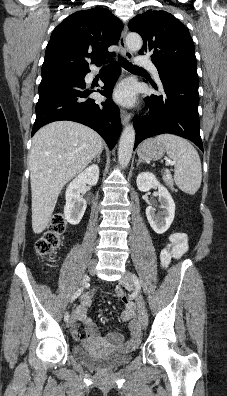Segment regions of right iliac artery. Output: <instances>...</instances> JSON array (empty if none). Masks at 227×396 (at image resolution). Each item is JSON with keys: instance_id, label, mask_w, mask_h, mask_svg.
Masks as SVG:
<instances>
[{"instance_id": "1", "label": "right iliac artery", "mask_w": 227, "mask_h": 396, "mask_svg": "<svg viewBox=\"0 0 227 396\" xmlns=\"http://www.w3.org/2000/svg\"><path fill=\"white\" fill-rule=\"evenodd\" d=\"M83 290H84V287L79 288V289L74 293V295L72 296L71 302H73L76 298H78V297L81 295V293L83 292ZM68 320H69V313L66 312L65 315H64V321L68 322Z\"/></svg>"}]
</instances>
